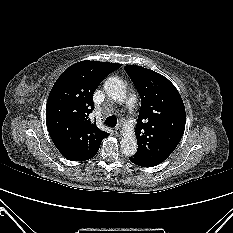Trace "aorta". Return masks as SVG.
Listing matches in <instances>:
<instances>
[{
    "mask_svg": "<svg viewBox=\"0 0 233 233\" xmlns=\"http://www.w3.org/2000/svg\"><path fill=\"white\" fill-rule=\"evenodd\" d=\"M106 94L115 101L122 102L126 98V87L124 82L118 77H109L104 83ZM121 151L127 156L134 155L137 151V140L134 132L130 131L123 135L121 141Z\"/></svg>",
    "mask_w": 233,
    "mask_h": 233,
    "instance_id": "obj_1",
    "label": "aorta"
}]
</instances>
